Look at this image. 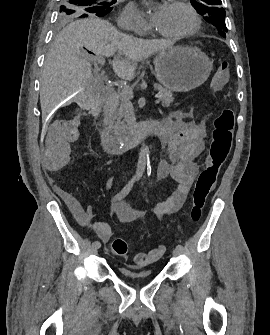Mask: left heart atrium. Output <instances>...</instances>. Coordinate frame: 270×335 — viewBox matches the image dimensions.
Segmentation results:
<instances>
[{
	"mask_svg": "<svg viewBox=\"0 0 270 335\" xmlns=\"http://www.w3.org/2000/svg\"><path fill=\"white\" fill-rule=\"evenodd\" d=\"M170 9L168 6L158 7L151 18L152 25L156 30L163 31Z\"/></svg>",
	"mask_w": 270,
	"mask_h": 335,
	"instance_id": "obj_1",
	"label": "left heart atrium"
}]
</instances>
